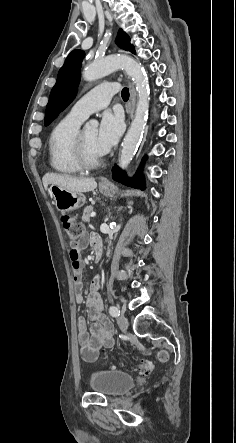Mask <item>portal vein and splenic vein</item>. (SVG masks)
<instances>
[{"mask_svg":"<svg viewBox=\"0 0 236 443\" xmlns=\"http://www.w3.org/2000/svg\"><path fill=\"white\" fill-rule=\"evenodd\" d=\"M90 216H91V217H95V216H96V213H95V212H92V213L90 214Z\"/></svg>","mask_w":236,"mask_h":443,"instance_id":"portal-vein-and-splenic-vein-1","label":"portal vein and splenic vein"}]
</instances>
